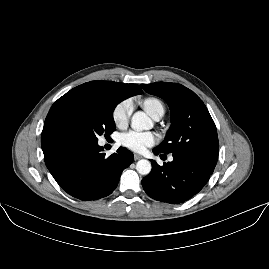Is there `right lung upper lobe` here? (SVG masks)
Wrapping results in <instances>:
<instances>
[{
    "label": "right lung upper lobe",
    "mask_w": 269,
    "mask_h": 269,
    "mask_svg": "<svg viewBox=\"0 0 269 269\" xmlns=\"http://www.w3.org/2000/svg\"><path fill=\"white\" fill-rule=\"evenodd\" d=\"M137 84H124L112 81H90L79 85L63 96L80 95L93 98H105L120 103L131 96L141 94Z\"/></svg>",
    "instance_id": "1"
}]
</instances>
